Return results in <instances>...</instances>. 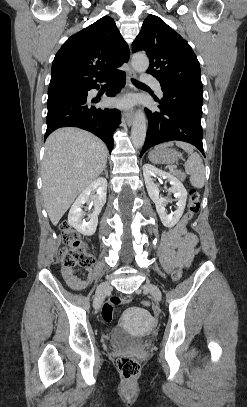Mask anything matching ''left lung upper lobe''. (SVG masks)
I'll use <instances>...</instances> for the list:
<instances>
[{"label":"left lung upper lobe","mask_w":247,"mask_h":407,"mask_svg":"<svg viewBox=\"0 0 247 407\" xmlns=\"http://www.w3.org/2000/svg\"><path fill=\"white\" fill-rule=\"evenodd\" d=\"M150 58L147 73L161 87L175 86L202 92L200 65L190 45L161 18L148 15L132 44Z\"/></svg>","instance_id":"left-lung-upper-lobe-1"}]
</instances>
